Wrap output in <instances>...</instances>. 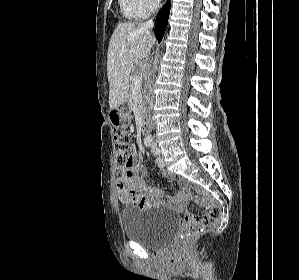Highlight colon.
Segmentation results:
<instances>
[{"instance_id": "1", "label": "colon", "mask_w": 299, "mask_h": 280, "mask_svg": "<svg viewBox=\"0 0 299 280\" xmlns=\"http://www.w3.org/2000/svg\"><path fill=\"white\" fill-rule=\"evenodd\" d=\"M113 136L118 167L125 168L132 162V156L128 151L129 134L124 129L116 128ZM194 199L197 203L207 206L209 211L202 216L187 215L185 217L180 235L183 246L199 235L203 229L214 224L219 217V209L211 199L204 196H196Z\"/></svg>"}]
</instances>
